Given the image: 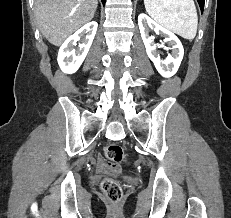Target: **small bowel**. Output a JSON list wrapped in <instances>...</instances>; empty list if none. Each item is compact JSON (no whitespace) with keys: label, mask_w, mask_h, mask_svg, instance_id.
<instances>
[{"label":"small bowel","mask_w":231,"mask_h":218,"mask_svg":"<svg viewBox=\"0 0 231 218\" xmlns=\"http://www.w3.org/2000/svg\"><path fill=\"white\" fill-rule=\"evenodd\" d=\"M97 170L101 174H118L120 172V166L118 164L109 162L102 156H98Z\"/></svg>","instance_id":"obj_1"}]
</instances>
